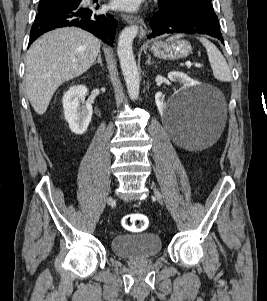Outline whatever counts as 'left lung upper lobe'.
<instances>
[{"mask_svg": "<svg viewBox=\"0 0 267 301\" xmlns=\"http://www.w3.org/2000/svg\"><path fill=\"white\" fill-rule=\"evenodd\" d=\"M159 8L192 13L219 25L218 17L213 10L211 0H159Z\"/></svg>", "mask_w": 267, "mask_h": 301, "instance_id": "obj_1", "label": "left lung upper lobe"}]
</instances>
